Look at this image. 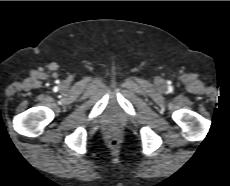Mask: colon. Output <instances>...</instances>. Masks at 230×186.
Returning <instances> with one entry per match:
<instances>
[{
  "label": "colon",
  "instance_id": "colon-1",
  "mask_svg": "<svg viewBox=\"0 0 230 186\" xmlns=\"http://www.w3.org/2000/svg\"><path fill=\"white\" fill-rule=\"evenodd\" d=\"M107 138L111 145H116L118 143L119 134L116 130H109L107 132Z\"/></svg>",
  "mask_w": 230,
  "mask_h": 186
}]
</instances>
